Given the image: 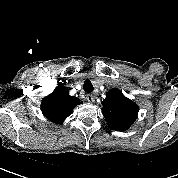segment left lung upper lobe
I'll list each match as a JSON object with an SVG mask.
<instances>
[{
	"instance_id": "left-lung-upper-lobe-1",
	"label": "left lung upper lobe",
	"mask_w": 178,
	"mask_h": 178,
	"mask_svg": "<svg viewBox=\"0 0 178 178\" xmlns=\"http://www.w3.org/2000/svg\"><path fill=\"white\" fill-rule=\"evenodd\" d=\"M102 105L105 120L114 130H127L137 118L138 106L117 88L107 92Z\"/></svg>"
}]
</instances>
